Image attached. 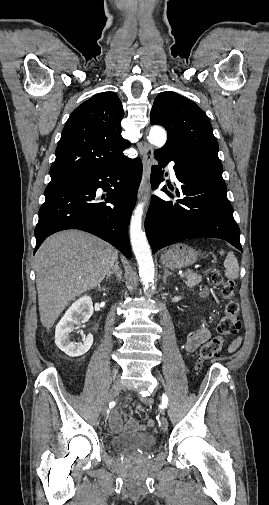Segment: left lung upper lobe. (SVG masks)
<instances>
[{"mask_svg":"<svg viewBox=\"0 0 269 505\" xmlns=\"http://www.w3.org/2000/svg\"><path fill=\"white\" fill-rule=\"evenodd\" d=\"M150 121L151 124L162 125L168 134L165 146L156 152L177 148L222 166L212 125L204 111L193 101L175 92H161L154 100Z\"/></svg>","mask_w":269,"mask_h":505,"instance_id":"1","label":"left lung upper lobe"}]
</instances>
